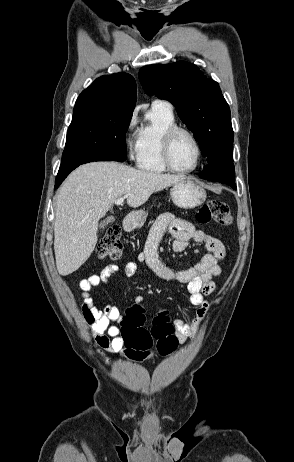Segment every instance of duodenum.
Segmentation results:
<instances>
[{"label": "duodenum", "instance_id": "410a0bca", "mask_svg": "<svg viewBox=\"0 0 294 462\" xmlns=\"http://www.w3.org/2000/svg\"><path fill=\"white\" fill-rule=\"evenodd\" d=\"M123 227L126 232L132 231L135 227L134 218L130 215L125 216L123 220Z\"/></svg>", "mask_w": 294, "mask_h": 462}]
</instances>
